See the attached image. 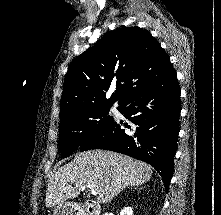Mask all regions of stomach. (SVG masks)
Listing matches in <instances>:
<instances>
[{"label":"stomach","instance_id":"stomach-1","mask_svg":"<svg viewBox=\"0 0 221 215\" xmlns=\"http://www.w3.org/2000/svg\"><path fill=\"white\" fill-rule=\"evenodd\" d=\"M53 215H76V207L72 203L58 204L53 210Z\"/></svg>","mask_w":221,"mask_h":215}]
</instances>
